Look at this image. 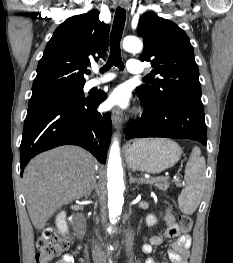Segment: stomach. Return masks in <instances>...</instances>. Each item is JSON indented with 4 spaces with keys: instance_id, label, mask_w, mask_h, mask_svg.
<instances>
[{
    "instance_id": "1",
    "label": "stomach",
    "mask_w": 233,
    "mask_h": 263,
    "mask_svg": "<svg viewBox=\"0 0 233 263\" xmlns=\"http://www.w3.org/2000/svg\"><path fill=\"white\" fill-rule=\"evenodd\" d=\"M180 146L168 139H139L126 149L130 168L147 173H160L172 167L181 157Z\"/></svg>"
}]
</instances>
